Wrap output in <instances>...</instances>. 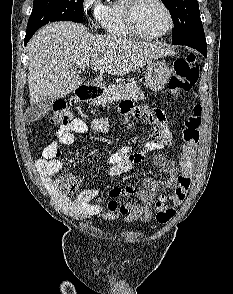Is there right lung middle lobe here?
I'll return each instance as SVG.
<instances>
[{"label": "right lung middle lobe", "instance_id": "1", "mask_svg": "<svg viewBox=\"0 0 233 294\" xmlns=\"http://www.w3.org/2000/svg\"><path fill=\"white\" fill-rule=\"evenodd\" d=\"M84 0H34L27 25V33L34 34L40 27L53 21L83 22Z\"/></svg>", "mask_w": 233, "mask_h": 294}]
</instances>
